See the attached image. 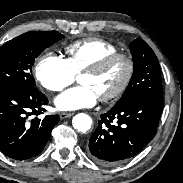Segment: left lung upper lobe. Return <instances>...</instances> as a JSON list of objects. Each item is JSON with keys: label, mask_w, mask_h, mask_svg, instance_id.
I'll use <instances>...</instances> for the list:
<instances>
[{"label": "left lung upper lobe", "mask_w": 183, "mask_h": 183, "mask_svg": "<svg viewBox=\"0 0 183 183\" xmlns=\"http://www.w3.org/2000/svg\"><path fill=\"white\" fill-rule=\"evenodd\" d=\"M130 51L134 72L123 96L115 106L135 98L163 97L160 67L153 50L145 41L138 38L130 44Z\"/></svg>", "instance_id": "obj_1"}]
</instances>
